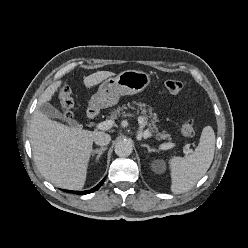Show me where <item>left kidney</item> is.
<instances>
[{
  "label": "left kidney",
  "instance_id": "left-kidney-1",
  "mask_svg": "<svg viewBox=\"0 0 248 248\" xmlns=\"http://www.w3.org/2000/svg\"><path fill=\"white\" fill-rule=\"evenodd\" d=\"M152 168H153V170H157V162H155L153 165H152Z\"/></svg>",
  "mask_w": 248,
  "mask_h": 248
}]
</instances>
